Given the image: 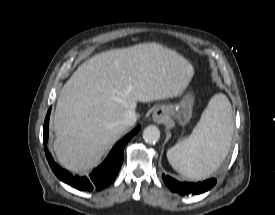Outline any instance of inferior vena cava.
Wrapping results in <instances>:
<instances>
[{
	"label": "inferior vena cava",
	"mask_w": 275,
	"mask_h": 215,
	"mask_svg": "<svg viewBox=\"0 0 275 215\" xmlns=\"http://www.w3.org/2000/svg\"><path fill=\"white\" fill-rule=\"evenodd\" d=\"M137 120V115L134 110H128L120 123L125 126H132Z\"/></svg>",
	"instance_id": "obj_1"
}]
</instances>
